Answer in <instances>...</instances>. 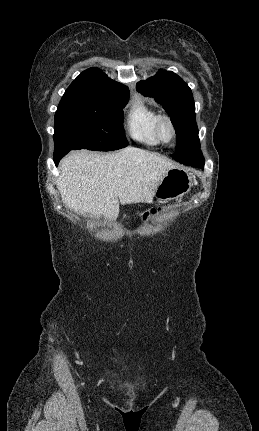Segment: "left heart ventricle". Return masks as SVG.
<instances>
[{
	"mask_svg": "<svg viewBox=\"0 0 259 431\" xmlns=\"http://www.w3.org/2000/svg\"><path fill=\"white\" fill-rule=\"evenodd\" d=\"M163 136L166 138V139H168L169 137H170V130H169V128L167 127V126H164L163 127Z\"/></svg>",
	"mask_w": 259,
	"mask_h": 431,
	"instance_id": "1",
	"label": "left heart ventricle"
}]
</instances>
